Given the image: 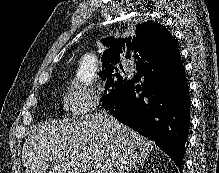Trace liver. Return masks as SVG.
I'll return each instance as SVG.
<instances>
[{"label": "liver", "mask_w": 219, "mask_h": 173, "mask_svg": "<svg viewBox=\"0 0 219 173\" xmlns=\"http://www.w3.org/2000/svg\"><path fill=\"white\" fill-rule=\"evenodd\" d=\"M154 148L152 141L99 112L33 127L22 164L26 173H129Z\"/></svg>", "instance_id": "1"}]
</instances>
